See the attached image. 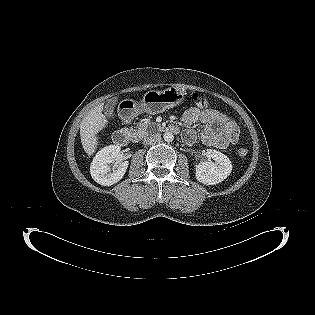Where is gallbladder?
I'll return each mask as SVG.
<instances>
[{"label": "gallbladder", "instance_id": "obj_1", "mask_svg": "<svg viewBox=\"0 0 315 315\" xmlns=\"http://www.w3.org/2000/svg\"><path fill=\"white\" fill-rule=\"evenodd\" d=\"M115 101H109L108 104L105 106L104 114L107 118L113 117V106Z\"/></svg>", "mask_w": 315, "mask_h": 315}]
</instances>
